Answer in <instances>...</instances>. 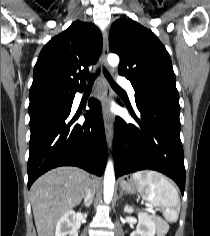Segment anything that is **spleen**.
Returning a JSON list of instances; mask_svg holds the SVG:
<instances>
[{"label": "spleen", "mask_w": 210, "mask_h": 236, "mask_svg": "<svg viewBox=\"0 0 210 236\" xmlns=\"http://www.w3.org/2000/svg\"><path fill=\"white\" fill-rule=\"evenodd\" d=\"M133 179L139 184V192L144 199L159 207L168 222H176L180 212V198L173 184L155 171H138Z\"/></svg>", "instance_id": "3e777b00"}]
</instances>
